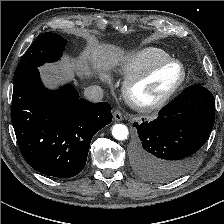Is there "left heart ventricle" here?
<instances>
[{"mask_svg":"<svg viewBox=\"0 0 224 224\" xmlns=\"http://www.w3.org/2000/svg\"><path fill=\"white\" fill-rule=\"evenodd\" d=\"M180 74V68L176 65L163 67L135 88V98L141 103L158 100L174 85Z\"/></svg>","mask_w":224,"mask_h":224,"instance_id":"obj_1","label":"left heart ventricle"}]
</instances>
